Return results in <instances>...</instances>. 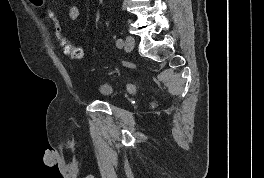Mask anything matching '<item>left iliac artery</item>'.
<instances>
[{"instance_id":"obj_1","label":"left iliac artery","mask_w":264,"mask_h":178,"mask_svg":"<svg viewBox=\"0 0 264 178\" xmlns=\"http://www.w3.org/2000/svg\"><path fill=\"white\" fill-rule=\"evenodd\" d=\"M123 40L122 39H118L117 41H116V46L118 47V48H121V47H123Z\"/></svg>"}]
</instances>
